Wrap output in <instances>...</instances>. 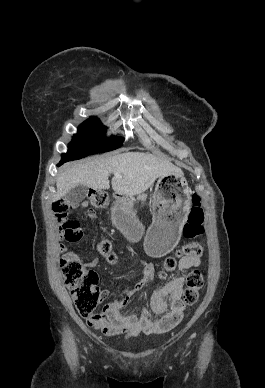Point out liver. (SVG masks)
Listing matches in <instances>:
<instances>
[{
  "mask_svg": "<svg viewBox=\"0 0 265 388\" xmlns=\"http://www.w3.org/2000/svg\"><path fill=\"white\" fill-rule=\"evenodd\" d=\"M115 172H118L121 178L114 176L111 184L114 192L121 196L142 194L161 176H170V174L182 176L180 168L153 154L127 152V154H117V156L86 158L59 174L56 182L57 192H55L53 202L61 200L79 184L93 188V190H109L108 174H115Z\"/></svg>",
  "mask_w": 265,
  "mask_h": 388,
  "instance_id": "liver-1",
  "label": "liver"
}]
</instances>
